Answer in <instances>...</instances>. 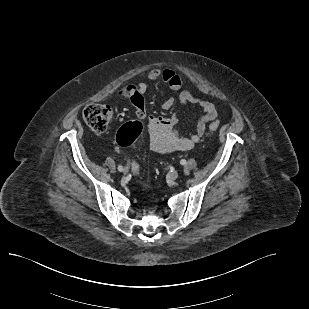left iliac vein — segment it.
I'll use <instances>...</instances> for the list:
<instances>
[{"instance_id": "4c4485c4", "label": "left iliac vein", "mask_w": 309, "mask_h": 309, "mask_svg": "<svg viewBox=\"0 0 309 309\" xmlns=\"http://www.w3.org/2000/svg\"><path fill=\"white\" fill-rule=\"evenodd\" d=\"M179 176L178 171H171L168 173V178L172 181L176 180Z\"/></svg>"}]
</instances>
